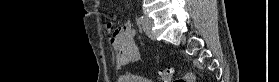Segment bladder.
<instances>
[{
    "label": "bladder",
    "instance_id": "1",
    "mask_svg": "<svg viewBox=\"0 0 279 82\" xmlns=\"http://www.w3.org/2000/svg\"><path fill=\"white\" fill-rule=\"evenodd\" d=\"M118 82H151V81L139 75L125 73L119 76Z\"/></svg>",
    "mask_w": 279,
    "mask_h": 82
}]
</instances>
